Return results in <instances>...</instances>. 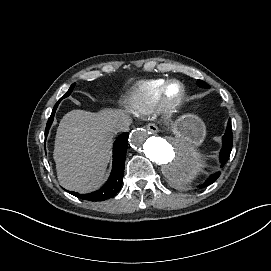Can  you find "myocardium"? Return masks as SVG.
<instances>
[{"label": "myocardium", "instance_id": "obj_1", "mask_svg": "<svg viewBox=\"0 0 271 271\" xmlns=\"http://www.w3.org/2000/svg\"><path fill=\"white\" fill-rule=\"evenodd\" d=\"M187 94L186 85L179 79L169 80L163 90V102L172 108L182 102Z\"/></svg>", "mask_w": 271, "mask_h": 271}]
</instances>
